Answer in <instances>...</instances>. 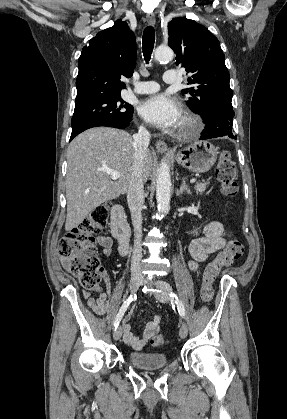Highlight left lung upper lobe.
Instances as JSON below:
<instances>
[{"label":"left lung upper lobe","mask_w":287,"mask_h":419,"mask_svg":"<svg viewBox=\"0 0 287 419\" xmlns=\"http://www.w3.org/2000/svg\"><path fill=\"white\" fill-rule=\"evenodd\" d=\"M169 46L176 53L177 66L191 74L190 88L181 92L191 110L205 118L210 108L231 103L233 91L218 39L194 20L175 18L168 23Z\"/></svg>","instance_id":"1"}]
</instances>
